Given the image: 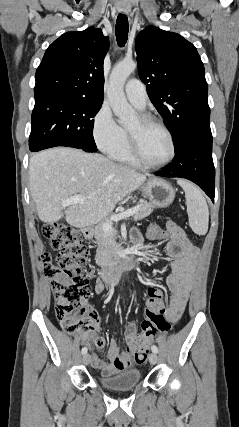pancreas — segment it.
<instances>
[{
  "label": "pancreas",
  "mask_w": 239,
  "mask_h": 427,
  "mask_svg": "<svg viewBox=\"0 0 239 427\" xmlns=\"http://www.w3.org/2000/svg\"><path fill=\"white\" fill-rule=\"evenodd\" d=\"M153 209H154V205L152 203H148L144 200H140V209L136 214L133 215L134 220L138 221L149 216L153 211ZM106 221L110 222L111 225L113 224V221H110V219H107ZM103 223L98 224L94 230L95 243L97 245L96 262L99 265L111 264L114 262V257H115V253H114L115 230H112V232L109 235H107L102 227Z\"/></svg>",
  "instance_id": "1"
}]
</instances>
